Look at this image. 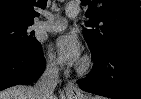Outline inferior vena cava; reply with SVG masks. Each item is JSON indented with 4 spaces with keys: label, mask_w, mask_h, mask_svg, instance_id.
<instances>
[{
    "label": "inferior vena cava",
    "mask_w": 141,
    "mask_h": 99,
    "mask_svg": "<svg viewBox=\"0 0 141 99\" xmlns=\"http://www.w3.org/2000/svg\"><path fill=\"white\" fill-rule=\"evenodd\" d=\"M59 81V68L56 64H48L34 86L39 99H53V92Z\"/></svg>",
    "instance_id": "602c4592"
}]
</instances>
